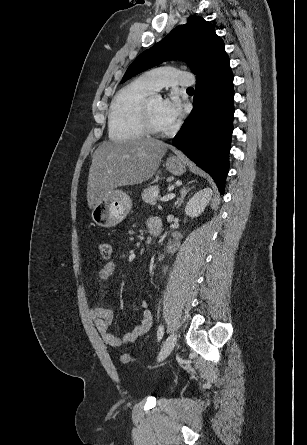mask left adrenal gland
Instances as JSON below:
<instances>
[{
  "instance_id": "a2214340",
  "label": "left adrenal gland",
  "mask_w": 307,
  "mask_h": 445,
  "mask_svg": "<svg viewBox=\"0 0 307 445\" xmlns=\"http://www.w3.org/2000/svg\"><path fill=\"white\" fill-rule=\"evenodd\" d=\"M190 182H193V180H189L188 184H190ZM191 188H194V186H191ZM191 188H188V186H182V188L180 190V196L178 198V204H177L176 208H178V206H181V204L184 200V196H186L187 192H189V190H191Z\"/></svg>"
}]
</instances>
